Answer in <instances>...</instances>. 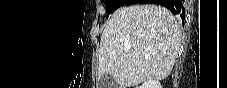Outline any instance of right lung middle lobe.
<instances>
[{
	"label": "right lung middle lobe",
	"mask_w": 227,
	"mask_h": 88,
	"mask_svg": "<svg viewBox=\"0 0 227 88\" xmlns=\"http://www.w3.org/2000/svg\"><path fill=\"white\" fill-rule=\"evenodd\" d=\"M133 0H106V9L107 14L113 13L116 9H118L122 5L132 4Z\"/></svg>",
	"instance_id": "1"
}]
</instances>
